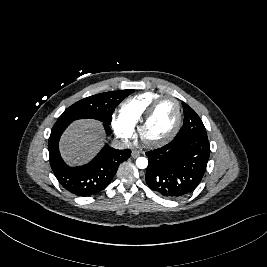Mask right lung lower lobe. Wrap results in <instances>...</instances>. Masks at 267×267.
Instances as JSON below:
<instances>
[{
    "mask_svg": "<svg viewBox=\"0 0 267 267\" xmlns=\"http://www.w3.org/2000/svg\"><path fill=\"white\" fill-rule=\"evenodd\" d=\"M69 124L54 125L48 141L50 165L59 183L77 196H90L105 189L117 172L121 162L127 160L131 150H117L108 145L88 164L69 167L61 158L59 139ZM106 132L111 133L109 124H104Z\"/></svg>",
    "mask_w": 267,
    "mask_h": 267,
    "instance_id": "right-lung-lower-lobe-1",
    "label": "right lung lower lobe"
}]
</instances>
